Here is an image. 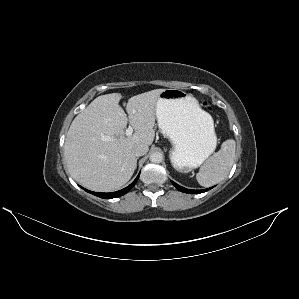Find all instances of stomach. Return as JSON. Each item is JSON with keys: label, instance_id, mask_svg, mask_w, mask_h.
Returning <instances> with one entry per match:
<instances>
[{"label": "stomach", "instance_id": "obj_1", "mask_svg": "<svg viewBox=\"0 0 299 299\" xmlns=\"http://www.w3.org/2000/svg\"><path fill=\"white\" fill-rule=\"evenodd\" d=\"M158 127L173 144V167L187 173L215 150L217 137L213 119L198 100L180 89H164L156 103Z\"/></svg>", "mask_w": 299, "mask_h": 299}]
</instances>
